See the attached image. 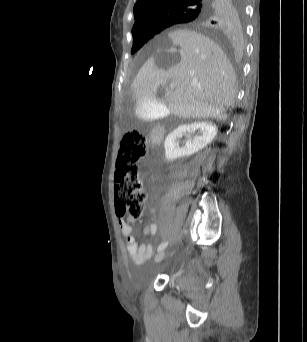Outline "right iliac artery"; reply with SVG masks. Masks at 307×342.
Masks as SVG:
<instances>
[{
	"mask_svg": "<svg viewBox=\"0 0 307 342\" xmlns=\"http://www.w3.org/2000/svg\"><path fill=\"white\" fill-rule=\"evenodd\" d=\"M168 245V242H163L159 245L157 251H161L163 250L164 248H166V246Z\"/></svg>",
	"mask_w": 307,
	"mask_h": 342,
	"instance_id": "1",
	"label": "right iliac artery"
}]
</instances>
